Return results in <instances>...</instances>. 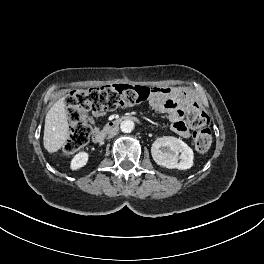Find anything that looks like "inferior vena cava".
I'll return each instance as SVG.
<instances>
[{
	"label": "inferior vena cava",
	"instance_id": "602c4592",
	"mask_svg": "<svg viewBox=\"0 0 264 264\" xmlns=\"http://www.w3.org/2000/svg\"><path fill=\"white\" fill-rule=\"evenodd\" d=\"M121 132V129L120 128H116L113 132H111L108 137L111 138V137H115L117 134H119Z\"/></svg>",
	"mask_w": 264,
	"mask_h": 264
}]
</instances>
